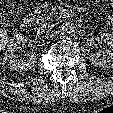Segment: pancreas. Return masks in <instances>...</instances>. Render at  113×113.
Listing matches in <instances>:
<instances>
[{
	"label": "pancreas",
	"mask_w": 113,
	"mask_h": 113,
	"mask_svg": "<svg viewBox=\"0 0 113 113\" xmlns=\"http://www.w3.org/2000/svg\"><path fill=\"white\" fill-rule=\"evenodd\" d=\"M33 20L36 23L43 22L44 20L49 19V16L45 13H41L40 8H37L32 14H31Z\"/></svg>",
	"instance_id": "obj_1"
}]
</instances>
